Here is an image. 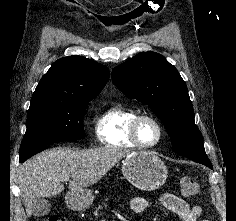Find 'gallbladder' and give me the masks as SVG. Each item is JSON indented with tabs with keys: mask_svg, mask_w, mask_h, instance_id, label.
Instances as JSON below:
<instances>
[{
	"mask_svg": "<svg viewBox=\"0 0 236 221\" xmlns=\"http://www.w3.org/2000/svg\"><path fill=\"white\" fill-rule=\"evenodd\" d=\"M50 211L49 201L45 198H36L32 205V214L37 217L45 216Z\"/></svg>",
	"mask_w": 236,
	"mask_h": 221,
	"instance_id": "1",
	"label": "gallbladder"
}]
</instances>
